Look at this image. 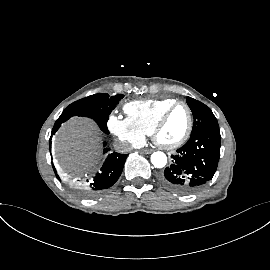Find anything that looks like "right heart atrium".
I'll use <instances>...</instances> for the list:
<instances>
[{"label": "right heart atrium", "mask_w": 270, "mask_h": 270, "mask_svg": "<svg viewBox=\"0 0 270 270\" xmlns=\"http://www.w3.org/2000/svg\"><path fill=\"white\" fill-rule=\"evenodd\" d=\"M110 131L122 141L138 145L144 141V135L126 117L111 115L108 120Z\"/></svg>", "instance_id": "1"}]
</instances>
